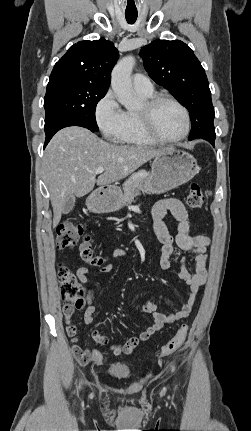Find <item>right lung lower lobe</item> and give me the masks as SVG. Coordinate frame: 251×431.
Here are the masks:
<instances>
[{"mask_svg": "<svg viewBox=\"0 0 251 431\" xmlns=\"http://www.w3.org/2000/svg\"><path fill=\"white\" fill-rule=\"evenodd\" d=\"M68 126H81V127H85L87 129L91 130L92 132H96L94 129L88 127L84 123L75 122V121H67L65 123H62V124H59V125L53 127L52 129H49V130L45 131V133H46V140H45L44 147L48 144V142L50 141V139L53 137V135L57 131H59L60 129H62L64 127H68Z\"/></svg>", "mask_w": 251, "mask_h": 431, "instance_id": "1", "label": "right lung lower lobe"}]
</instances>
